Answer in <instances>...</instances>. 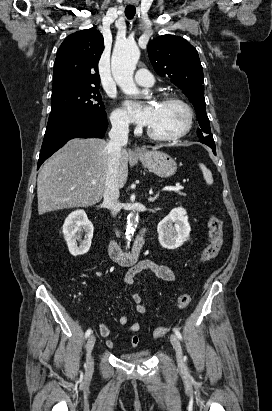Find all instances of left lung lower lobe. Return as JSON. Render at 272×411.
<instances>
[{"mask_svg":"<svg viewBox=\"0 0 272 411\" xmlns=\"http://www.w3.org/2000/svg\"><path fill=\"white\" fill-rule=\"evenodd\" d=\"M200 142L206 144L207 146H209L210 148H212L213 152L215 153V143L213 140V136L212 134L200 137Z\"/></svg>","mask_w":272,"mask_h":411,"instance_id":"1","label":"left lung lower lobe"}]
</instances>
